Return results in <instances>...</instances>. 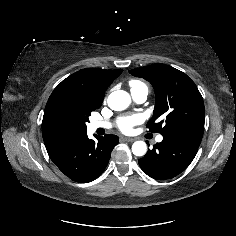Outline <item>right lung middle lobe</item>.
I'll use <instances>...</instances> for the list:
<instances>
[{
  "mask_svg": "<svg viewBox=\"0 0 236 236\" xmlns=\"http://www.w3.org/2000/svg\"><path fill=\"white\" fill-rule=\"evenodd\" d=\"M97 108L99 107L76 103L66 94L57 93L50 100L49 116L62 129L86 133L88 117Z\"/></svg>",
  "mask_w": 236,
  "mask_h": 236,
  "instance_id": "1",
  "label": "right lung middle lobe"
}]
</instances>
